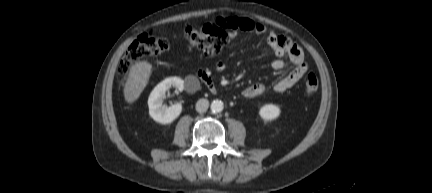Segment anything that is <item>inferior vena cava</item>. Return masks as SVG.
<instances>
[{"label": "inferior vena cava", "instance_id": "602c4592", "mask_svg": "<svg viewBox=\"0 0 432 193\" xmlns=\"http://www.w3.org/2000/svg\"><path fill=\"white\" fill-rule=\"evenodd\" d=\"M209 107V101L207 99H199L196 103V111L199 113H204Z\"/></svg>", "mask_w": 432, "mask_h": 193}]
</instances>
